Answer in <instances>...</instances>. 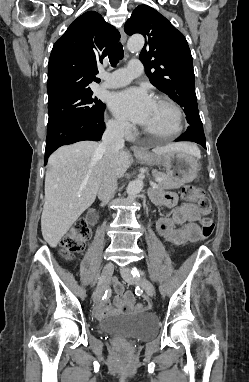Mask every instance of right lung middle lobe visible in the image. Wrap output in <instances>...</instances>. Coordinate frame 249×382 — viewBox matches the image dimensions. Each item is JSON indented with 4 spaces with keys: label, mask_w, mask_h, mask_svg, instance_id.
<instances>
[{
    "label": "right lung middle lobe",
    "mask_w": 249,
    "mask_h": 382,
    "mask_svg": "<svg viewBox=\"0 0 249 382\" xmlns=\"http://www.w3.org/2000/svg\"><path fill=\"white\" fill-rule=\"evenodd\" d=\"M104 109L105 104L95 98L91 90L60 98L48 103V128L77 119L95 120Z\"/></svg>",
    "instance_id": "1"
}]
</instances>
